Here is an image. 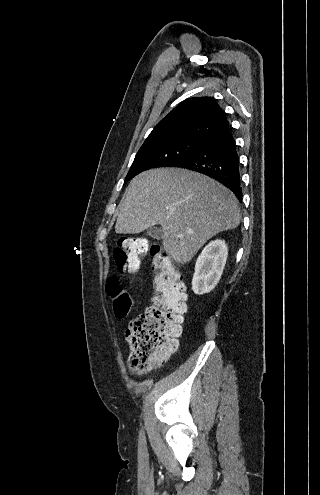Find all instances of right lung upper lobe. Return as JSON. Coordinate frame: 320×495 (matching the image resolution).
<instances>
[{
  "mask_svg": "<svg viewBox=\"0 0 320 495\" xmlns=\"http://www.w3.org/2000/svg\"><path fill=\"white\" fill-rule=\"evenodd\" d=\"M229 126L226 114L212 97H193L182 101L152 130L142 146L187 138L207 139Z\"/></svg>",
  "mask_w": 320,
  "mask_h": 495,
  "instance_id": "right-lung-upper-lobe-1",
  "label": "right lung upper lobe"
}]
</instances>
